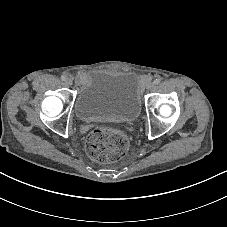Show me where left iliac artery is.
Segmentation results:
<instances>
[{
    "label": "left iliac artery",
    "instance_id": "left-iliac-artery-1",
    "mask_svg": "<svg viewBox=\"0 0 227 227\" xmlns=\"http://www.w3.org/2000/svg\"><path fill=\"white\" fill-rule=\"evenodd\" d=\"M160 82H161V80L159 78H157V79L154 80V84L155 85H158Z\"/></svg>",
    "mask_w": 227,
    "mask_h": 227
}]
</instances>
